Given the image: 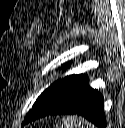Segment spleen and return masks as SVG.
<instances>
[{
    "label": "spleen",
    "instance_id": "spleen-1",
    "mask_svg": "<svg viewBox=\"0 0 125 128\" xmlns=\"http://www.w3.org/2000/svg\"><path fill=\"white\" fill-rule=\"evenodd\" d=\"M58 127V124H56V128ZM60 128H95V126L84 118L73 115L67 116L66 118L64 117Z\"/></svg>",
    "mask_w": 125,
    "mask_h": 128
}]
</instances>
